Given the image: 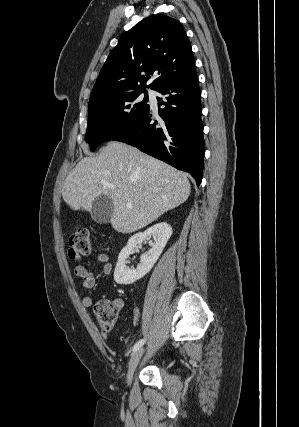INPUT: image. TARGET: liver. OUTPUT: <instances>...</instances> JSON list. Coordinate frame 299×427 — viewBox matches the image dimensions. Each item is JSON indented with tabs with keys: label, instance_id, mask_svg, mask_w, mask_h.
<instances>
[{
	"label": "liver",
	"instance_id": "6515ba94",
	"mask_svg": "<svg viewBox=\"0 0 299 427\" xmlns=\"http://www.w3.org/2000/svg\"><path fill=\"white\" fill-rule=\"evenodd\" d=\"M103 180L114 187L101 184ZM190 190L183 172L133 146L110 142L98 156L83 158L69 172L62 197L71 209L91 212L95 198L109 196L112 227L132 233L184 203Z\"/></svg>",
	"mask_w": 299,
	"mask_h": 427
}]
</instances>
